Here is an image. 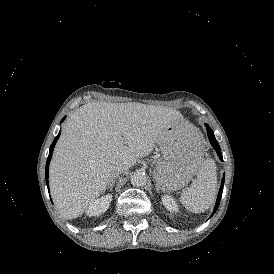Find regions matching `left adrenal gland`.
Here are the masks:
<instances>
[{
	"label": "left adrenal gland",
	"instance_id": "a2214340",
	"mask_svg": "<svg viewBox=\"0 0 274 274\" xmlns=\"http://www.w3.org/2000/svg\"><path fill=\"white\" fill-rule=\"evenodd\" d=\"M161 189V187L158 185V184H156V191L159 193V190Z\"/></svg>",
	"mask_w": 274,
	"mask_h": 274
}]
</instances>
